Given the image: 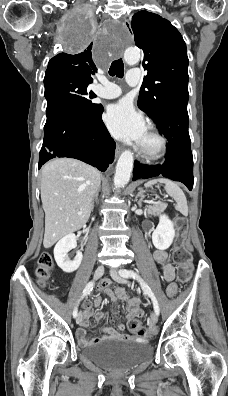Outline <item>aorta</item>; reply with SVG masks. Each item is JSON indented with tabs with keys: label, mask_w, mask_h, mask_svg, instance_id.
I'll return each mask as SVG.
<instances>
[{
	"label": "aorta",
	"mask_w": 228,
	"mask_h": 396,
	"mask_svg": "<svg viewBox=\"0 0 228 396\" xmlns=\"http://www.w3.org/2000/svg\"><path fill=\"white\" fill-rule=\"evenodd\" d=\"M141 54L138 49L127 48L124 52V59L128 65H135L140 61ZM133 153L130 150H125L120 155L116 172L114 175V185L116 188H123L130 180L133 170Z\"/></svg>",
	"instance_id": "1"
}]
</instances>
